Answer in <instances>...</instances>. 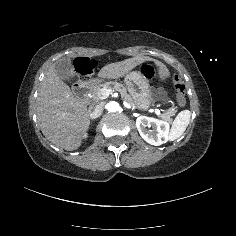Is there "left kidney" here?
Returning <instances> with one entry per match:
<instances>
[{
	"instance_id": "5707ae66",
	"label": "left kidney",
	"mask_w": 236,
	"mask_h": 236,
	"mask_svg": "<svg viewBox=\"0 0 236 236\" xmlns=\"http://www.w3.org/2000/svg\"><path fill=\"white\" fill-rule=\"evenodd\" d=\"M151 126L152 130H148ZM136 127L140 136L151 145L159 146L168 140L169 123L166 121L140 116L136 119Z\"/></svg>"
}]
</instances>
